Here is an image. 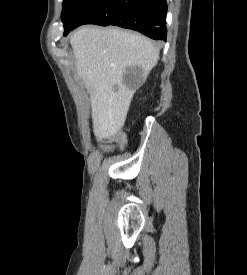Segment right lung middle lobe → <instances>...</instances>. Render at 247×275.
Listing matches in <instances>:
<instances>
[{
    "instance_id": "1",
    "label": "right lung middle lobe",
    "mask_w": 247,
    "mask_h": 275,
    "mask_svg": "<svg viewBox=\"0 0 247 275\" xmlns=\"http://www.w3.org/2000/svg\"><path fill=\"white\" fill-rule=\"evenodd\" d=\"M100 1L101 0H64L61 15L64 29H70L83 12Z\"/></svg>"
}]
</instances>
